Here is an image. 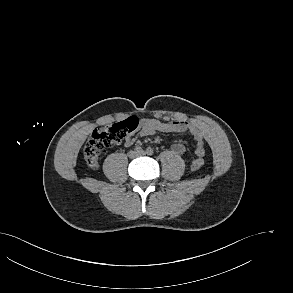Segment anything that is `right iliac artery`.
<instances>
[{
    "mask_svg": "<svg viewBox=\"0 0 293 293\" xmlns=\"http://www.w3.org/2000/svg\"><path fill=\"white\" fill-rule=\"evenodd\" d=\"M135 151H136L137 153H139V152L143 151V149H142L141 146H136V147H135Z\"/></svg>",
    "mask_w": 293,
    "mask_h": 293,
    "instance_id": "1",
    "label": "right iliac artery"
}]
</instances>
